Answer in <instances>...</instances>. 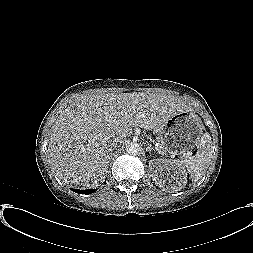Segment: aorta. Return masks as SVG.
<instances>
[{
    "instance_id": "1",
    "label": "aorta",
    "mask_w": 253,
    "mask_h": 253,
    "mask_svg": "<svg viewBox=\"0 0 253 253\" xmlns=\"http://www.w3.org/2000/svg\"><path fill=\"white\" fill-rule=\"evenodd\" d=\"M126 151L132 155L138 154L140 152V146L138 143L131 142L127 145Z\"/></svg>"
}]
</instances>
